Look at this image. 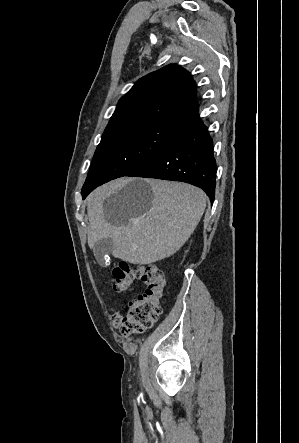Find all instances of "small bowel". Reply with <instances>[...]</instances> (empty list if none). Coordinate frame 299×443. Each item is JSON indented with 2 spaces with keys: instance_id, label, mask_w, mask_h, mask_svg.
<instances>
[{
  "instance_id": "obj_1",
  "label": "small bowel",
  "mask_w": 299,
  "mask_h": 443,
  "mask_svg": "<svg viewBox=\"0 0 299 443\" xmlns=\"http://www.w3.org/2000/svg\"><path fill=\"white\" fill-rule=\"evenodd\" d=\"M112 323L115 327H119L122 323V316L119 313H114L112 315Z\"/></svg>"
}]
</instances>
